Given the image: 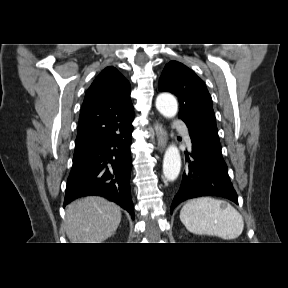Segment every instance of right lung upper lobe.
<instances>
[{"mask_svg": "<svg viewBox=\"0 0 288 288\" xmlns=\"http://www.w3.org/2000/svg\"><path fill=\"white\" fill-rule=\"evenodd\" d=\"M133 118L130 83L116 68H105L86 92L74 156L93 149L129 128Z\"/></svg>", "mask_w": 288, "mask_h": 288, "instance_id": "obj_1", "label": "right lung upper lobe"}]
</instances>
